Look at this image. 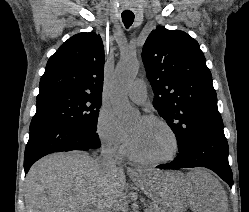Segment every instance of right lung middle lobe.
I'll return each mask as SVG.
<instances>
[{"mask_svg":"<svg viewBox=\"0 0 249 212\" xmlns=\"http://www.w3.org/2000/svg\"><path fill=\"white\" fill-rule=\"evenodd\" d=\"M37 111L30 131L37 126L65 124L96 132L101 97L83 93L53 92L37 96Z\"/></svg>","mask_w":249,"mask_h":212,"instance_id":"dd1d6c3e","label":"right lung middle lobe"}]
</instances>
